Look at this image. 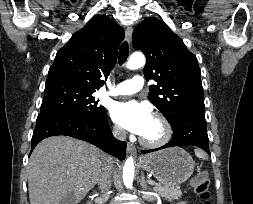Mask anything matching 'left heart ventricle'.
Listing matches in <instances>:
<instances>
[{"instance_id":"b2bd125f","label":"left heart ventricle","mask_w":253,"mask_h":204,"mask_svg":"<svg viewBox=\"0 0 253 204\" xmlns=\"http://www.w3.org/2000/svg\"><path fill=\"white\" fill-rule=\"evenodd\" d=\"M162 134L163 128L161 124L153 118L141 136L147 140L155 141L158 140L162 136Z\"/></svg>"}]
</instances>
